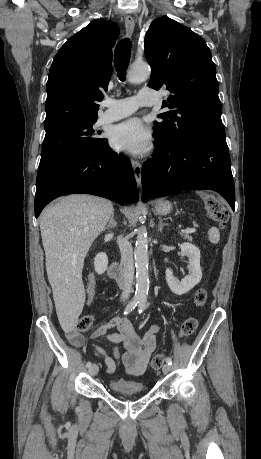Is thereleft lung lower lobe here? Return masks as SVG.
Listing matches in <instances>:
<instances>
[{
	"label": "left lung lower lobe",
	"instance_id": "left-lung-lower-lobe-1",
	"mask_svg": "<svg viewBox=\"0 0 261 459\" xmlns=\"http://www.w3.org/2000/svg\"><path fill=\"white\" fill-rule=\"evenodd\" d=\"M156 149L142 168L144 202L190 189L220 193L234 210L235 191L225 134L172 144L154 134Z\"/></svg>",
	"mask_w": 261,
	"mask_h": 459
}]
</instances>
